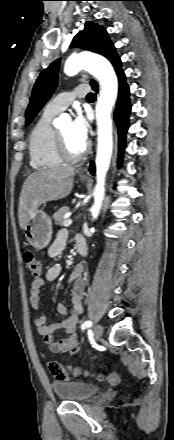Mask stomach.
<instances>
[{
	"instance_id": "1",
	"label": "stomach",
	"mask_w": 174,
	"mask_h": 440,
	"mask_svg": "<svg viewBox=\"0 0 174 440\" xmlns=\"http://www.w3.org/2000/svg\"><path fill=\"white\" fill-rule=\"evenodd\" d=\"M81 180H86L80 176ZM25 237L35 249L45 248L52 236V222L50 217L41 209H37L33 218L24 227Z\"/></svg>"
}]
</instances>
